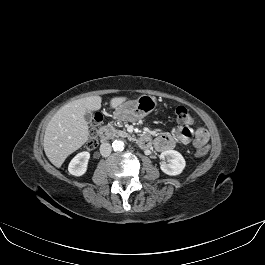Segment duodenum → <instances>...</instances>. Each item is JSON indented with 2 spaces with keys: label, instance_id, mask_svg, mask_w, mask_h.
I'll return each instance as SVG.
<instances>
[{
  "label": "duodenum",
  "instance_id": "duodenum-1",
  "mask_svg": "<svg viewBox=\"0 0 265 265\" xmlns=\"http://www.w3.org/2000/svg\"><path fill=\"white\" fill-rule=\"evenodd\" d=\"M112 133V127L110 125H104L99 129V136L100 138L105 141L106 139L109 138V136ZM138 144L147 147L150 145V137L147 134H142L138 137L137 139Z\"/></svg>",
  "mask_w": 265,
  "mask_h": 265
}]
</instances>
